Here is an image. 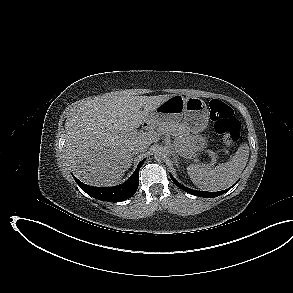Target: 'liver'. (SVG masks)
Listing matches in <instances>:
<instances>
[{
	"label": "liver",
	"mask_w": 293,
	"mask_h": 293,
	"mask_svg": "<svg viewBox=\"0 0 293 293\" xmlns=\"http://www.w3.org/2000/svg\"><path fill=\"white\" fill-rule=\"evenodd\" d=\"M172 96L108 93L74 109L65 122L64 151L76 177L93 186L119 184L131 166L135 146L148 147L157 140V136L142 135L136 129L143 123L156 126L151 111Z\"/></svg>",
	"instance_id": "6515ba94"
}]
</instances>
